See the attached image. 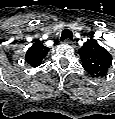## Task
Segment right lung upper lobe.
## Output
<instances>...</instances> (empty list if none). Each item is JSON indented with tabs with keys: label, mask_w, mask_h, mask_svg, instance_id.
<instances>
[{
	"label": "right lung upper lobe",
	"mask_w": 115,
	"mask_h": 119,
	"mask_svg": "<svg viewBox=\"0 0 115 119\" xmlns=\"http://www.w3.org/2000/svg\"><path fill=\"white\" fill-rule=\"evenodd\" d=\"M49 48L44 46L41 42L36 41L27 51L25 61L32 67L41 65L43 58L46 56Z\"/></svg>",
	"instance_id": "right-lung-upper-lobe-1"
}]
</instances>
